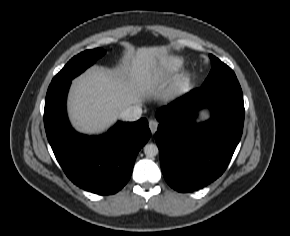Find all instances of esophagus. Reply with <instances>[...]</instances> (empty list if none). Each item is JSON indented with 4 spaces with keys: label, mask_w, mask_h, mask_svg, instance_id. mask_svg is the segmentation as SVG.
Here are the masks:
<instances>
[{
    "label": "esophagus",
    "mask_w": 290,
    "mask_h": 236,
    "mask_svg": "<svg viewBox=\"0 0 290 236\" xmlns=\"http://www.w3.org/2000/svg\"><path fill=\"white\" fill-rule=\"evenodd\" d=\"M158 122L156 120H149V128L152 134H154L157 131Z\"/></svg>",
    "instance_id": "34e87169"
}]
</instances>
